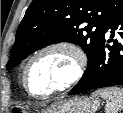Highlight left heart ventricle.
I'll return each mask as SVG.
<instances>
[{"label": "left heart ventricle", "mask_w": 123, "mask_h": 113, "mask_svg": "<svg viewBox=\"0 0 123 113\" xmlns=\"http://www.w3.org/2000/svg\"><path fill=\"white\" fill-rule=\"evenodd\" d=\"M71 72V58L63 52L41 56L27 71L26 83L34 93H44L59 84Z\"/></svg>", "instance_id": "1"}]
</instances>
